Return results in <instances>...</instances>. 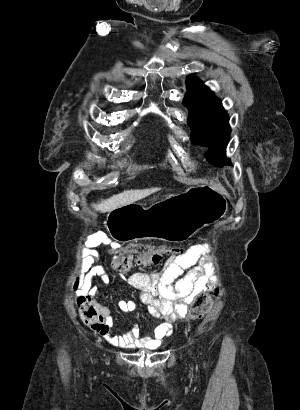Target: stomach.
<instances>
[{
	"label": "stomach",
	"mask_w": 300,
	"mask_h": 410,
	"mask_svg": "<svg viewBox=\"0 0 300 410\" xmlns=\"http://www.w3.org/2000/svg\"><path fill=\"white\" fill-rule=\"evenodd\" d=\"M228 204L211 186H196L150 207L131 203L111 210L107 230L116 241L159 239L184 242L200 229L223 218Z\"/></svg>",
	"instance_id": "obj_1"
}]
</instances>
